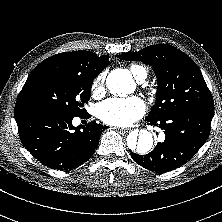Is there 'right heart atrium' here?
<instances>
[{
	"mask_svg": "<svg viewBox=\"0 0 222 222\" xmlns=\"http://www.w3.org/2000/svg\"><path fill=\"white\" fill-rule=\"evenodd\" d=\"M103 84H104V76L100 75L94 80L92 84V90L94 94H99L103 91Z\"/></svg>",
	"mask_w": 222,
	"mask_h": 222,
	"instance_id": "1",
	"label": "right heart atrium"
}]
</instances>
